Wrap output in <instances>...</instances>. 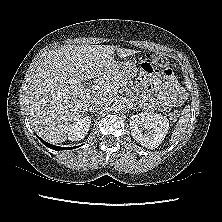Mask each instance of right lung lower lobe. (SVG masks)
<instances>
[{
    "instance_id": "98d812e1",
    "label": "right lung lower lobe",
    "mask_w": 222,
    "mask_h": 222,
    "mask_svg": "<svg viewBox=\"0 0 222 222\" xmlns=\"http://www.w3.org/2000/svg\"><path fill=\"white\" fill-rule=\"evenodd\" d=\"M38 137V136H37ZM39 139H40V141L42 142V143H44L47 147H49V148H51V149H54V150H68V149H73L74 147H59V146H54V145H52V144H50V143H47V142H45L43 139H41L40 137H38Z\"/></svg>"
}]
</instances>
